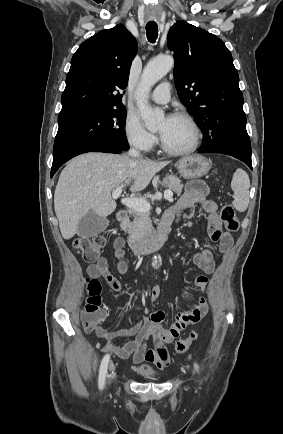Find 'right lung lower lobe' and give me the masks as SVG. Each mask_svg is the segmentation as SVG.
<instances>
[{
    "label": "right lung lower lobe",
    "instance_id": "obj_1",
    "mask_svg": "<svg viewBox=\"0 0 283 434\" xmlns=\"http://www.w3.org/2000/svg\"><path fill=\"white\" fill-rule=\"evenodd\" d=\"M122 151L123 149L104 142L88 143V144L77 146L69 150L62 156L53 159L51 177H53V175L60 168L61 165H63L65 162H67L68 160H70L71 158L79 154L86 153V152L121 153Z\"/></svg>",
    "mask_w": 283,
    "mask_h": 434
}]
</instances>
